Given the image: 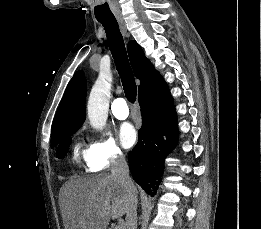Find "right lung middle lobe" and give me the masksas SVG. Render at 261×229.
<instances>
[{
	"label": "right lung middle lobe",
	"instance_id": "right-lung-middle-lobe-1",
	"mask_svg": "<svg viewBox=\"0 0 261 229\" xmlns=\"http://www.w3.org/2000/svg\"><path fill=\"white\" fill-rule=\"evenodd\" d=\"M80 127L81 125H65L55 129L54 133L62 140V143L57 148V158L61 159L65 157L71 141L69 137L73 135Z\"/></svg>",
	"mask_w": 261,
	"mask_h": 229
}]
</instances>
